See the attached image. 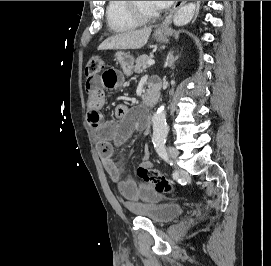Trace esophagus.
<instances>
[{
  "instance_id": "34e87169",
  "label": "esophagus",
  "mask_w": 271,
  "mask_h": 266,
  "mask_svg": "<svg viewBox=\"0 0 271 266\" xmlns=\"http://www.w3.org/2000/svg\"><path fill=\"white\" fill-rule=\"evenodd\" d=\"M186 1H176L173 9L171 10L170 14L165 18L161 26L157 29L158 32H163L167 29L170 25L175 12L185 3Z\"/></svg>"
}]
</instances>
